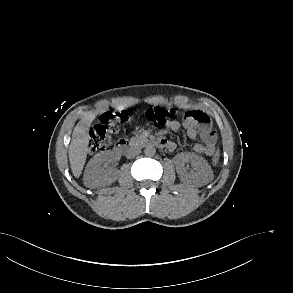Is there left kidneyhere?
Masks as SVG:
<instances>
[{
	"label": "left kidney",
	"mask_w": 293,
	"mask_h": 293,
	"mask_svg": "<svg viewBox=\"0 0 293 293\" xmlns=\"http://www.w3.org/2000/svg\"><path fill=\"white\" fill-rule=\"evenodd\" d=\"M180 164L177 166V174L183 182H193L197 185L207 184L212 179V169L209 163L201 156L194 153H182L178 155ZM191 163L195 172H188L185 163Z\"/></svg>",
	"instance_id": "1"
}]
</instances>
